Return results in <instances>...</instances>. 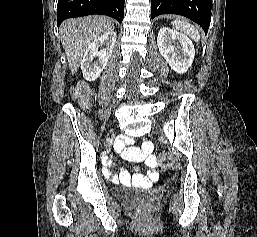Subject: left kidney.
Wrapping results in <instances>:
<instances>
[{
	"label": "left kidney",
	"instance_id": "1",
	"mask_svg": "<svg viewBox=\"0 0 257 237\" xmlns=\"http://www.w3.org/2000/svg\"><path fill=\"white\" fill-rule=\"evenodd\" d=\"M157 45L160 54L177 73H185L192 65L195 49L190 39L182 33L162 28L158 32Z\"/></svg>",
	"mask_w": 257,
	"mask_h": 237
}]
</instances>
